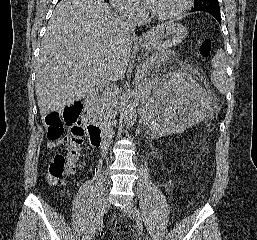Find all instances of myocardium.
Wrapping results in <instances>:
<instances>
[{
  "label": "myocardium",
  "instance_id": "myocardium-1",
  "mask_svg": "<svg viewBox=\"0 0 257 240\" xmlns=\"http://www.w3.org/2000/svg\"><path fill=\"white\" fill-rule=\"evenodd\" d=\"M189 7H190V0H182L180 7L176 11L167 15H159L154 13L150 9V7L146 5L149 17L153 20L160 21V22L172 21L180 18L184 13L188 11Z\"/></svg>",
  "mask_w": 257,
  "mask_h": 240
}]
</instances>
